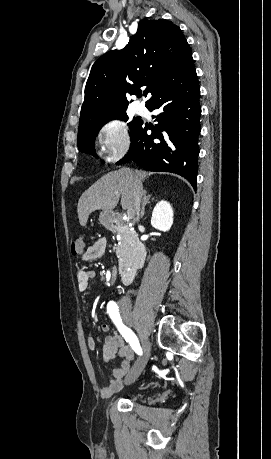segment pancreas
<instances>
[{"instance_id":"pancreas-1","label":"pancreas","mask_w":271,"mask_h":459,"mask_svg":"<svg viewBox=\"0 0 271 459\" xmlns=\"http://www.w3.org/2000/svg\"><path fill=\"white\" fill-rule=\"evenodd\" d=\"M120 235V243L116 245V253L119 257H124V255H128L130 253L132 247L129 243V239L127 237V233H119Z\"/></svg>"}]
</instances>
